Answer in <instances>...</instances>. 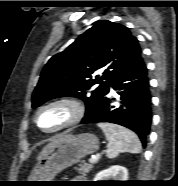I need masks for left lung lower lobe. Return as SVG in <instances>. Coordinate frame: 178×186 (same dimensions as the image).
<instances>
[{
    "instance_id": "obj_1",
    "label": "left lung lower lobe",
    "mask_w": 178,
    "mask_h": 186,
    "mask_svg": "<svg viewBox=\"0 0 178 186\" xmlns=\"http://www.w3.org/2000/svg\"><path fill=\"white\" fill-rule=\"evenodd\" d=\"M120 96L119 105H113L110 88L101 103L86 113L83 124L109 122L134 131L143 145H146L152 121L149 79L144 60L122 72L111 84Z\"/></svg>"
}]
</instances>
